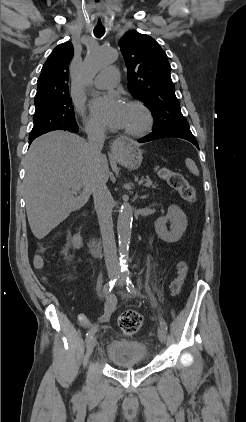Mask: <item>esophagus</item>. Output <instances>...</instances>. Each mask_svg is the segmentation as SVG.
Returning a JSON list of instances; mask_svg holds the SVG:
<instances>
[{
    "label": "esophagus",
    "instance_id": "34e87169",
    "mask_svg": "<svg viewBox=\"0 0 246 422\" xmlns=\"http://www.w3.org/2000/svg\"><path fill=\"white\" fill-rule=\"evenodd\" d=\"M121 145V142L119 140L114 141V143L111 146V152L113 154L117 153Z\"/></svg>",
    "mask_w": 246,
    "mask_h": 422
}]
</instances>
